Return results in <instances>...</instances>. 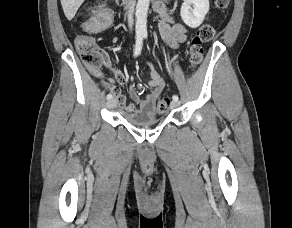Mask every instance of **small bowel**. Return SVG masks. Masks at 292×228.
<instances>
[{
  "label": "small bowel",
  "instance_id": "c3829d8e",
  "mask_svg": "<svg viewBox=\"0 0 292 228\" xmlns=\"http://www.w3.org/2000/svg\"><path fill=\"white\" fill-rule=\"evenodd\" d=\"M158 11L161 15V20L159 22V30L163 39L172 47L176 48L179 44L184 43L187 39V28L176 22L171 15L162 7H158ZM104 62L108 69L111 71L116 83L122 85L126 83L125 75L113 66L110 58L105 55ZM150 68V79L148 85L151 91L145 96L141 97L137 89L133 86L129 88V95L134 101L127 102L125 96L121 93L120 88L113 82H105L107 89L115 95L116 105L123 111L130 114H145L154 115L157 112L156 101L161 95L164 89V81L158 72V70L149 63ZM138 105V108L136 107Z\"/></svg>",
  "mask_w": 292,
  "mask_h": 228
}]
</instances>
